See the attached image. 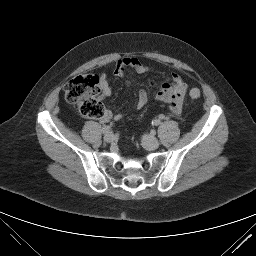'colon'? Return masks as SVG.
Segmentation results:
<instances>
[{
    "label": "colon",
    "mask_w": 256,
    "mask_h": 256,
    "mask_svg": "<svg viewBox=\"0 0 256 256\" xmlns=\"http://www.w3.org/2000/svg\"><path fill=\"white\" fill-rule=\"evenodd\" d=\"M101 92L100 81L95 75H79L68 80L64 86L65 99L76 104L80 113L88 118H103L106 110L99 99ZM192 100L200 97V90L192 88L189 92Z\"/></svg>",
    "instance_id": "obj_1"
}]
</instances>
